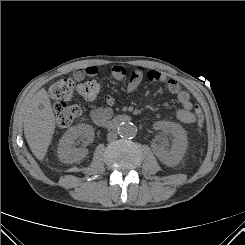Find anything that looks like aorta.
<instances>
[{"mask_svg": "<svg viewBox=\"0 0 245 245\" xmlns=\"http://www.w3.org/2000/svg\"><path fill=\"white\" fill-rule=\"evenodd\" d=\"M136 133L137 128L132 123H122L118 128V134L123 138H132Z\"/></svg>", "mask_w": 245, "mask_h": 245, "instance_id": "762f6f07", "label": "aorta"}]
</instances>
